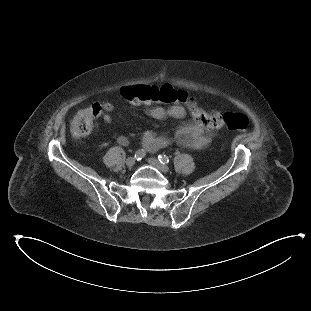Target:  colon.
<instances>
[{"mask_svg": "<svg viewBox=\"0 0 311 311\" xmlns=\"http://www.w3.org/2000/svg\"><path fill=\"white\" fill-rule=\"evenodd\" d=\"M122 97L133 101V104L144 101L145 103H168V104H187L189 110L196 119L204 126L213 129H220L224 126L225 111L218 114V118L206 114L197 103L185 92L178 91L172 87L157 88L154 84L148 83L139 88L134 85H127L122 88ZM102 113L100 104L89 105L80 109L71 123V134L75 139L86 137L92 132L94 119ZM219 121V126H214V121ZM248 126L246 115L230 109L229 128L244 130ZM217 127V128H216Z\"/></svg>", "mask_w": 311, "mask_h": 311, "instance_id": "1", "label": "colon"}]
</instances>
